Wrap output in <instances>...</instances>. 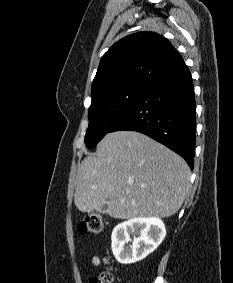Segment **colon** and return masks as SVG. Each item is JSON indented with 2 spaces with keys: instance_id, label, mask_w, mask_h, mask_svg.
Masks as SVG:
<instances>
[{
  "instance_id": "colon-1",
  "label": "colon",
  "mask_w": 233,
  "mask_h": 283,
  "mask_svg": "<svg viewBox=\"0 0 233 283\" xmlns=\"http://www.w3.org/2000/svg\"><path fill=\"white\" fill-rule=\"evenodd\" d=\"M103 228L102 219L97 214H87L79 224V232L83 235H98ZM113 275L110 270L104 271L100 276L94 277L90 283H112Z\"/></svg>"
}]
</instances>
